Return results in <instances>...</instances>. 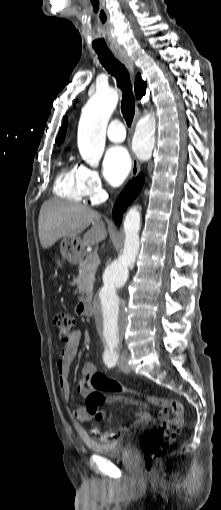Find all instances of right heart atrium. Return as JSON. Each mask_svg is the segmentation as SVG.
Returning <instances> with one entry per match:
<instances>
[{
  "mask_svg": "<svg viewBox=\"0 0 221 510\" xmlns=\"http://www.w3.org/2000/svg\"><path fill=\"white\" fill-rule=\"evenodd\" d=\"M80 180L85 197L93 203L103 197L104 189L101 175L93 168L80 167Z\"/></svg>",
  "mask_w": 221,
  "mask_h": 510,
  "instance_id": "obj_1",
  "label": "right heart atrium"
}]
</instances>
